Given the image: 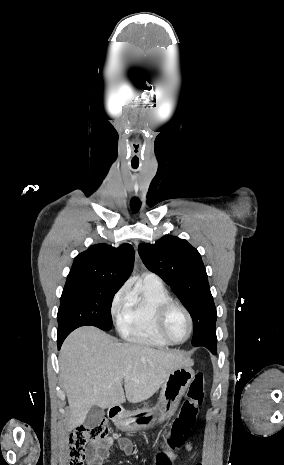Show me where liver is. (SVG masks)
<instances>
[{
    "label": "liver",
    "mask_w": 284,
    "mask_h": 465,
    "mask_svg": "<svg viewBox=\"0 0 284 465\" xmlns=\"http://www.w3.org/2000/svg\"><path fill=\"white\" fill-rule=\"evenodd\" d=\"M59 365L70 409L65 425L73 431L83 425L93 405L109 409L126 399L147 401L172 371L194 363L179 351L118 343L95 327H80L64 341Z\"/></svg>",
    "instance_id": "1"
}]
</instances>
